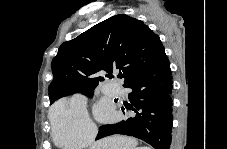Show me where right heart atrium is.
Listing matches in <instances>:
<instances>
[{
	"instance_id": "obj_1",
	"label": "right heart atrium",
	"mask_w": 227,
	"mask_h": 149,
	"mask_svg": "<svg viewBox=\"0 0 227 149\" xmlns=\"http://www.w3.org/2000/svg\"><path fill=\"white\" fill-rule=\"evenodd\" d=\"M50 121L54 142L63 148L88 146L97 133L84 103L76 98L58 101L50 111Z\"/></svg>"
}]
</instances>
